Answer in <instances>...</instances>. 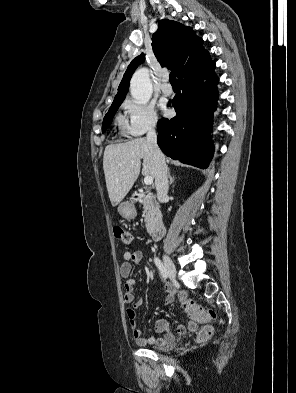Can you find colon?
<instances>
[{
	"label": "colon",
	"mask_w": 296,
	"mask_h": 393,
	"mask_svg": "<svg viewBox=\"0 0 296 393\" xmlns=\"http://www.w3.org/2000/svg\"><path fill=\"white\" fill-rule=\"evenodd\" d=\"M113 233L115 238H117L124 244H129L132 241L131 233L122 227H114ZM181 306L183 310L190 316V318L199 322H206L215 317V313L213 310L201 307L192 299H185L181 302ZM213 331L214 328L212 326H205L200 330L197 340L199 342L206 341L213 334Z\"/></svg>",
	"instance_id": "colon-1"
}]
</instances>
